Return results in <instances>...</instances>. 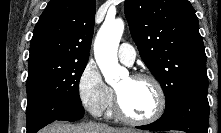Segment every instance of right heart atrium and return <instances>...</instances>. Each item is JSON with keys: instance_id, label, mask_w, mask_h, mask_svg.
<instances>
[{"instance_id": "d8ad5b80", "label": "right heart atrium", "mask_w": 221, "mask_h": 133, "mask_svg": "<svg viewBox=\"0 0 221 133\" xmlns=\"http://www.w3.org/2000/svg\"><path fill=\"white\" fill-rule=\"evenodd\" d=\"M77 93L84 109L96 116L105 113L114 99L113 90L104 82L93 62H88L81 71Z\"/></svg>"}]
</instances>
